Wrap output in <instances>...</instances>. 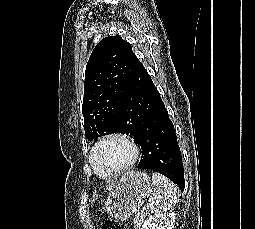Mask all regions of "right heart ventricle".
<instances>
[{"label": "right heart ventricle", "instance_id": "obj_1", "mask_svg": "<svg viewBox=\"0 0 255 229\" xmlns=\"http://www.w3.org/2000/svg\"><path fill=\"white\" fill-rule=\"evenodd\" d=\"M89 163L97 176H99L100 178L110 177L100 166L91 162L90 155H89Z\"/></svg>", "mask_w": 255, "mask_h": 229}]
</instances>
